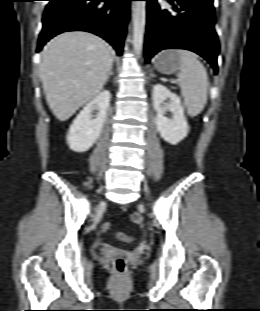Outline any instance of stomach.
Returning a JSON list of instances; mask_svg holds the SVG:
<instances>
[{
  "instance_id": "1",
  "label": "stomach",
  "mask_w": 260,
  "mask_h": 311,
  "mask_svg": "<svg viewBox=\"0 0 260 311\" xmlns=\"http://www.w3.org/2000/svg\"><path fill=\"white\" fill-rule=\"evenodd\" d=\"M181 66L180 58L176 50H167L161 52L154 62L157 71L163 74L175 73Z\"/></svg>"
}]
</instances>
